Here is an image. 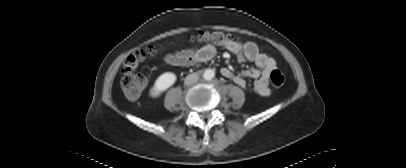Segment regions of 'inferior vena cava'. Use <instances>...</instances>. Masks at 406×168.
<instances>
[{
    "label": "inferior vena cava",
    "mask_w": 406,
    "mask_h": 168,
    "mask_svg": "<svg viewBox=\"0 0 406 168\" xmlns=\"http://www.w3.org/2000/svg\"><path fill=\"white\" fill-rule=\"evenodd\" d=\"M199 79V76L196 73L193 74H189L186 78H185V84L186 85H192L194 83H196Z\"/></svg>",
    "instance_id": "inferior-vena-cava-1"
}]
</instances>
